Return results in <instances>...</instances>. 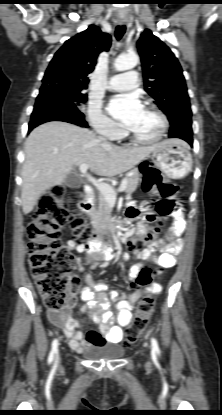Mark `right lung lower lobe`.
Segmentation results:
<instances>
[{
    "label": "right lung lower lobe",
    "mask_w": 222,
    "mask_h": 415,
    "mask_svg": "<svg viewBox=\"0 0 222 415\" xmlns=\"http://www.w3.org/2000/svg\"><path fill=\"white\" fill-rule=\"evenodd\" d=\"M57 85L41 87L29 123L30 132L36 126L49 121H64L82 127H88L84 115Z\"/></svg>",
    "instance_id": "obj_1"
}]
</instances>
